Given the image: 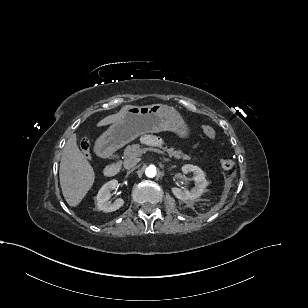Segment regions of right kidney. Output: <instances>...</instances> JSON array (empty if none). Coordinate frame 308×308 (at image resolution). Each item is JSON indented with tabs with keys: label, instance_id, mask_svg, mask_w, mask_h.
Instances as JSON below:
<instances>
[{
	"label": "right kidney",
	"instance_id": "1",
	"mask_svg": "<svg viewBox=\"0 0 308 308\" xmlns=\"http://www.w3.org/2000/svg\"><path fill=\"white\" fill-rule=\"evenodd\" d=\"M118 187L117 180H111L105 183L96 196V206L99 210L104 212H113L118 210L120 207L123 206L124 200L122 198H118L113 203L109 202L111 197L110 191L116 189Z\"/></svg>",
	"mask_w": 308,
	"mask_h": 308
}]
</instances>
